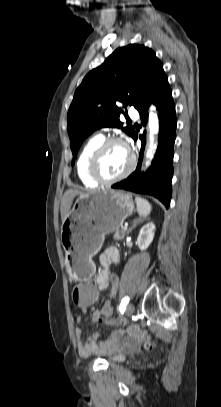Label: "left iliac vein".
<instances>
[{
    "label": "left iliac vein",
    "mask_w": 221,
    "mask_h": 407,
    "mask_svg": "<svg viewBox=\"0 0 221 407\" xmlns=\"http://www.w3.org/2000/svg\"><path fill=\"white\" fill-rule=\"evenodd\" d=\"M135 307L132 303H130L127 308H126V316H125V320H128L129 317L134 313Z\"/></svg>",
    "instance_id": "1"
}]
</instances>
